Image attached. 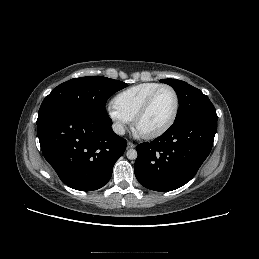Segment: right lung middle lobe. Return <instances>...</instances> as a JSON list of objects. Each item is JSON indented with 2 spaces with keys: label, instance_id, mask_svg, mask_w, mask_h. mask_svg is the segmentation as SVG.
I'll list each match as a JSON object with an SVG mask.
<instances>
[{
  "label": "right lung middle lobe",
  "instance_id": "right-lung-middle-lobe-1",
  "mask_svg": "<svg viewBox=\"0 0 259 259\" xmlns=\"http://www.w3.org/2000/svg\"><path fill=\"white\" fill-rule=\"evenodd\" d=\"M125 87L127 84L124 82L102 76L71 79L54 88L44 99L38 118L50 111L69 107L98 116H108L105 110L108 98Z\"/></svg>",
  "mask_w": 259,
  "mask_h": 259
}]
</instances>
